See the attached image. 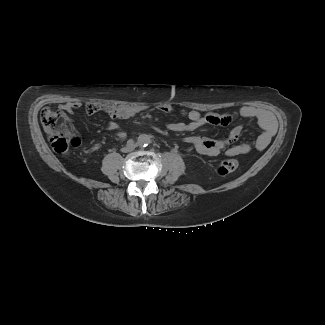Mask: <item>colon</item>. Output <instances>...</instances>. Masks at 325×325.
I'll list each match as a JSON object with an SVG mask.
<instances>
[{
    "label": "colon",
    "mask_w": 325,
    "mask_h": 325,
    "mask_svg": "<svg viewBox=\"0 0 325 325\" xmlns=\"http://www.w3.org/2000/svg\"><path fill=\"white\" fill-rule=\"evenodd\" d=\"M41 123L49 137L54 151L65 154L71 146L78 144V139L71 133V128L66 116L61 111L44 108L40 115ZM240 167L239 161L227 158L220 162L218 173L227 175L235 172Z\"/></svg>",
    "instance_id": "5ec220e1"
}]
</instances>
